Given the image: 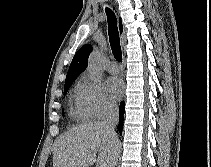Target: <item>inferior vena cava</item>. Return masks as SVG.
I'll list each match as a JSON object with an SVG mask.
<instances>
[{"mask_svg":"<svg viewBox=\"0 0 211 167\" xmlns=\"http://www.w3.org/2000/svg\"><path fill=\"white\" fill-rule=\"evenodd\" d=\"M119 121L118 107L114 104H108L106 109L105 118L102 121V125L110 133L112 139L118 140L115 132V127Z\"/></svg>","mask_w":211,"mask_h":167,"instance_id":"602c4592","label":"inferior vena cava"}]
</instances>
